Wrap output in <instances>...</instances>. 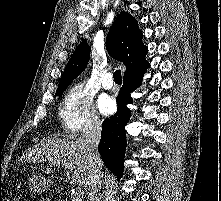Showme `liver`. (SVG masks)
I'll return each instance as SVG.
<instances>
[{
    "label": "liver",
    "instance_id": "obj_1",
    "mask_svg": "<svg viewBox=\"0 0 221 201\" xmlns=\"http://www.w3.org/2000/svg\"><path fill=\"white\" fill-rule=\"evenodd\" d=\"M21 159L23 162L33 164L49 161L51 166H60L58 164L60 163L72 170L74 184L81 187L89 186L91 167L84 138L75 141L60 138L42 139L38 144L29 148ZM45 172H52V168H47Z\"/></svg>",
    "mask_w": 221,
    "mask_h": 201
}]
</instances>
